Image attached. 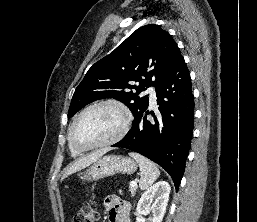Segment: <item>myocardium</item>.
I'll return each instance as SVG.
<instances>
[{"instance_id":"f54148a6","label":"myocardium","mask_w":257,"mask_h":222,"mask_svg":"<svg viewBox=\"0 0 257 222\" xmlns=\"http://www.w3.org/2000/svg\"><path fill=\"white\" fill-rule=\"evenodd\" d=\"M102 106L115 107L122 113L123 121H122V126H121L120 130L113 137H111L101 143L91 145V146L79 145L74 138V130H75V127H76L78 121L81 119V117L83 115H85L90 110H92L94 108L102 107ZM131 121H132L131 111H130L129 107L123 101H121L119 99H115V98H108V99H103V100L94 102L91 105L87 106L85 109H83L75 117V119L69 129V134H68L69 143L75 150H77L79 152H86V151L114 145V144L118 143L119 141H121L126 136V134L129 131Z\"/></svg>"}]
</instances>
